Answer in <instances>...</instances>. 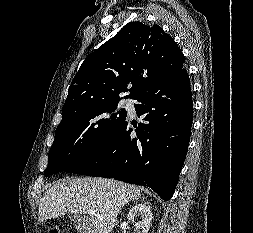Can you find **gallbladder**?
I'll list each match as a JSON object with an SVG mask.
<instances>
[{"label":"gallbladder","instance_id":"bac80fb5","mask_svg":"<svg viewBox=\"0 0 253 233\" xmlns=\"http://www.w3.org/2000/svg\"><path fill=\"white\" fill-rule=\"evenodd\" d=\"M77 221H78V222H81V221H85V220L80 218V219H77Z\"/></svg>","mask_w":253,"mask_h":233}]
</instances>
